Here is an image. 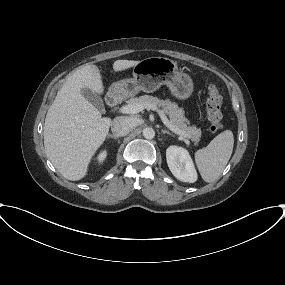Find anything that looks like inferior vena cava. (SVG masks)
Returning a JSON list of instances; mask_svg holds the SVG:
<instances>
[{"mask_svg":"<svg viewBox=\"0 0 285 285\" xmlns=\"http://www.w3.org/2000/svg\"><path fill=\"white\" fill-rule=\"evenodd\" d=\"M134 127V120L127 116L116 117L111 123V131L116 137L126 136Z\"/></svg>","mask_w":285,"mask_h":285,"instance_id":"inferior-vena-cava-1","label":"inferior vena cava"}]
</instances>
